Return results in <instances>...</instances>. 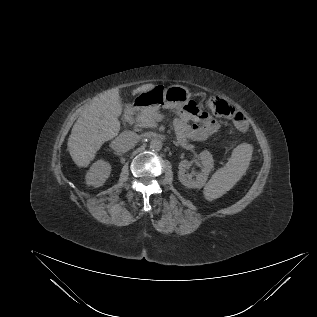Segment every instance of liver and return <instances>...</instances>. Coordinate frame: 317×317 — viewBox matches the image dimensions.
Here are the masks:
<instances>
[{"label":"liver","mask_w":317,"mask_h":317,"mask_svg":"<svg viewBox=\"0 0 317 317\" xmlns=\"http://www.w3.org/2000/svg\"><path fill=\"white\" fill-rule=\"evenodd\" d=\"M145 84L132 91V95L154 88ZM122 112L117 88L94 97L81 112L69 136L67 149L78 167H87L101 146L120 131L118 116Z\"/></svg>","instance_id":"6515ba94"}]
</instances>
